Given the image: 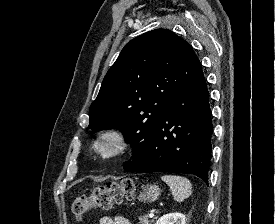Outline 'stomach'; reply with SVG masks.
<instances>
[{"mask_svg":"<svg viewBox=\"0 0 275 224\" xmlns=\"http://www.w3.org/2000/svg\"><path fill=\"white\" fill-rule=\"evenodd\" d=\"M161 195V189L157 185H147L143 187V192L140 193L138 200L143 202L156 201Z\"/></svg>","mask_w":275,"mask_h":224,"instance_id":"1","label":"stomach"}]
</instances>
